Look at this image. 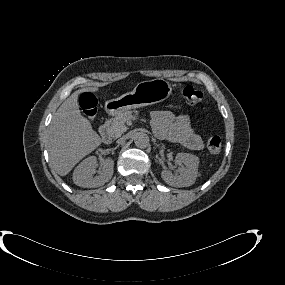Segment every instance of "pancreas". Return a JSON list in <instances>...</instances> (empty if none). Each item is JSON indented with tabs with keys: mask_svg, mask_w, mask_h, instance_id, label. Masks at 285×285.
Instances as JSON below:
<instances>
[{
	"mask_svg": "<svg viewBox=\"0 0 285 285\" xmlns=\"http://www.w3.org/2000/svg\"><path fill=\"white\" fill-rule=\"evenodd\" d=\"M134 114L137 115L138 112L134 111ZM134 114L132 111H126L116 115L107 128L108 134L113 138L120 137L128 129L126 121L133 119Z\"/></svg>",
	"mask_w": 285,
	"mask_h": 285,
	"instance_id": "1",
	"label": "pancreas"
}]
</instances>
